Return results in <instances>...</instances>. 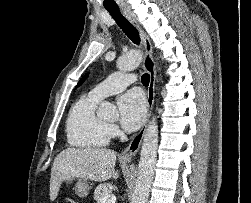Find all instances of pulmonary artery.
I'll list each match as a JSON object with an SVG mask.
<instances>
[{
  "label": "pulmonary artery",
  "mask_w": 251,
  "mask_h": 203,
  "mask_svg": "<svg viewBox=\"0 0 251 203\" xmlns=\"http://www.w3.org/2000/svg\"><path fill=\"white\" fill-rule=\"evenodd\" d=\"M135 81L136 76L134 74L115 73L95 86L89 93L98 99H103L124 90Z\"/></svg>",
  "instance_id": "pulmonary-artery-1"
}]
</instances>
